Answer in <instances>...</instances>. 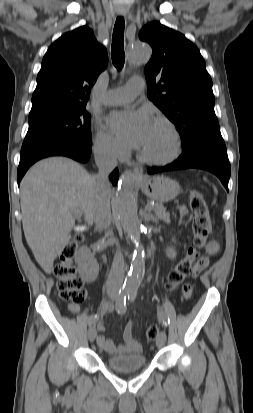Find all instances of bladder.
Wrapping results in <instances>:
<instances>
[{
	"instance_id": "31cf9c89",
	"label": "bladder",
	"mask_w": 253,
	"mask_h": 413,
	"mask_svg": "<svg viewBox=\"0 0 253 413\" xmlns=\"http://www.w3.org/2000/svg\"><path fill=\"white\" fill-rule=\"evenodd\" d=\"M147 359L142 352L113 355L107 358L108 366L116 371L127 372L143 368Z\"/></svg>"
}]
</instances>
